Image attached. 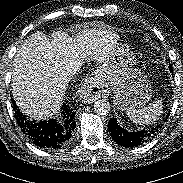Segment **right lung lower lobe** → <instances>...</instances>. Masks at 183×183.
<instances>
[{"instance_id":"1","label":"right lung lower lobe","mask_w":183,"mask_h":183,"mask_svg":"<svg viewBox=\"0 0 183 183\" xmlns=\"http://www.w3.org/2000/svg\"><path fill=\"white\" fill-rule=\"evenodd\" d=\"M13 110L15 111V118L25 136L31 140L36 146L44 149H58L64 147L69 143L72 132L75 128V114L65 103L62 107V117L64 121L62 124L57 120L51 119L48 121H30L25 115L20 112L14 99H11Z\"/></svg>"}]
</instances>
